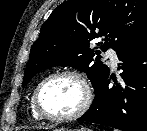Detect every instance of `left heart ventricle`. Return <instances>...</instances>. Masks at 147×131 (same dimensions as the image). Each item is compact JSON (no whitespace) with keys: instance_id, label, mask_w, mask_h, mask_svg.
I'll list each match as a JSON object with an SVG mask.
<instances>
[{"instance_id":"left-heart-ventricle-1","label":"left heart ventricle","mask_w":147,"mask_h":131,"mask_svg":"<svg viewBox=\"0 0 147 131\" xmlns=\"http://www.w3.org/2000/svg\"><path fill=\"white\" fill-rule=\"evenodd\" d=\"M85 93L79 80L70 76L50 80L42 89L40 100L46 112L52 115H69L84 102Z\"/></svg>"}]
</instances>
